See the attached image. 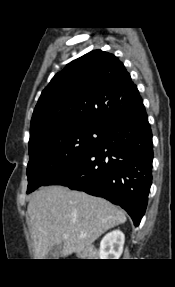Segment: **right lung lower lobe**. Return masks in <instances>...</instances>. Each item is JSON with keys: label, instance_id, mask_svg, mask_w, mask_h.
<instances>
[{"label": "right lung lower lobe", "instance_id": "1", "mask_svg": "<svg viewBox=\"0 0 175 287\" xmlns=\"http://www.w3.org/2000/svg\"><path fill=\"white\" fill-rule=\"evenodd\" d=\"M153 144L143 103L103 126L95 148L45 185H64L121 206L138 226L152 183Z\"/></svg>", "mask_w": 175, "mask_h": 287}]
</instances>
